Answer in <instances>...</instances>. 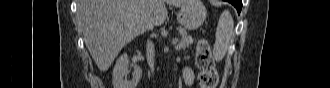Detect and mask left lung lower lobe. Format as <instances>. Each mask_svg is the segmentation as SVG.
Masks as SVG:
<instances>
[{"label": "left lung lower lobe", "mask_w": 330, "mask_h": 88, "mask_svg": "<svg viewBox=\"0 0 330 88\" xmlns=\"http://www.w3.org/2000/svg\"><path fill=\"white\" fill-rule=\"evenodd\" d=\"M229 3H231L232 5H234V7L237 9L238 13L240 14V11L242 9V1L241 0H226Z\"/></svg>", "instance_id": "left-lung-lower-lobe-1"}]
</instances>
